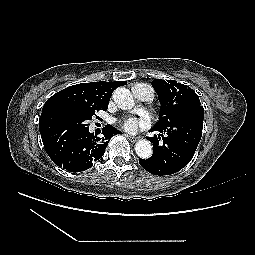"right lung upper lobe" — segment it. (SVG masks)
Returning a JSON list of instances; mask_svg holds the SVG:
<instances>
[{
	"label": "right lung upper lobe",
	"mask_w": 255,
	"mask_h": 255,
	"mask_svg": "<svg viewBox=\"0 0 255 255\" xmlns=\"http://www.w3.org/2000/svg\"><path fill=\"white\" fill-rule=\"evenodd\" d=\"M126 83V81H99L69 86L54 94L46 101L40 120L55 110H69L74 112L85 110L106 111L114 89Z\"/></svg>",
	"instance_id": "1"
}]
</instances>
